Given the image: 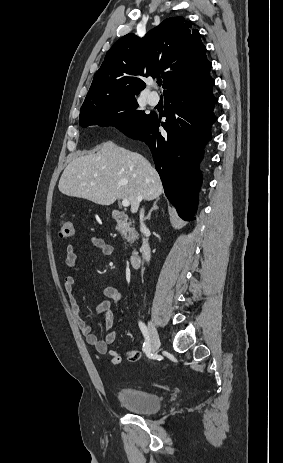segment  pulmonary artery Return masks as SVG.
Listing matches in <instances>:
<instances>
[{"mask_svg":"<svg viewBox=\"0 0 283 463\" xmlns=\"http://www.w3.org/2000/svg\"><path fill=\"white\" fill-rule=\"evenodd\" d=\"M159 101H160V97H159V95H158L156 92H154V91L151 92V93L148 95V97H147V102H148V104L151 105V106H156V105H158Z\"/></svg>","mask_w":283,"mask_h":463,"instance_id":"obj_1","label":"pulmonary artery"}]
</instances>
